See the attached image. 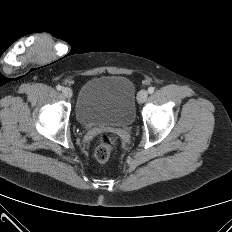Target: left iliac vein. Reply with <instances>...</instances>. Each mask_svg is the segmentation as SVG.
<instances>
[{
  "label": "left iliac vein",
  "instance_id": "left-iliac-vein-1",
  "mask_svg": "<svg viewBox=\"0 0 232 232\" xmlns=\"http://www.w3.org/2000/svg\"><path fill=\"white\" fill-rule=\"evenodd\" d=\"M148 92L146 90H141L137 95V100L139 103H144L147 100Z\"/></svg>",
  "mask_w": 232,
  "mask_h": 232
}]
</instances>
